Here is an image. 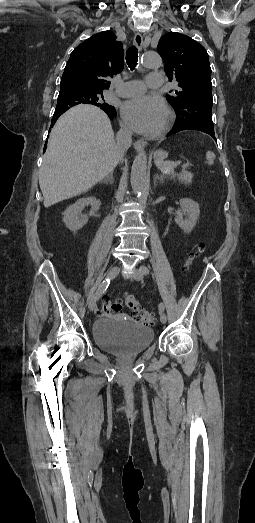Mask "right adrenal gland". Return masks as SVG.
<instances>
[{
  "label": "right adrenal gland",
  "mask_w": 255,
  "mask_h": 523,
  "mask_svg": "<svg viewBox=\"0 0 255 523\" xmlns=\"http://www.w3.org/2000/svg\"><path fill=\"white\" fill-rule=\"evenodd\" d=\"M103 182H105V184H107V182H110V184H113V172H111V174H109V176H106V178H103Z\"/></svg>",
  "instance_id": "obj_1"
}]
</instances>
